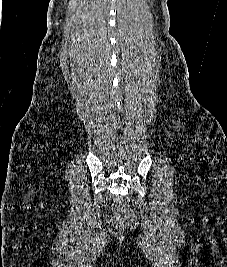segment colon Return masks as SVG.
Listing matches in <instances>:
<instances>
[{
	"instance_id": "1",
	"label": "colon",
	"mask_w": 227,
	"mask_h": 267,
	"mask_svg": "<svg viewBox=\"0 0 227 267\" xmlns=\"http://www.w3.org/2000/svg\"><path fill=\"white\" fill-rule=\"evenodd\" d=\"M115 215L113 217V225L118 229H127L134 222V214L126 209L122 201L118 199L115 203Z\"/></svg>"
}]
</instances>
